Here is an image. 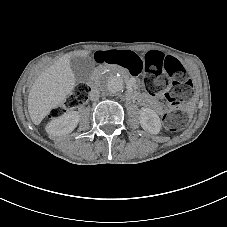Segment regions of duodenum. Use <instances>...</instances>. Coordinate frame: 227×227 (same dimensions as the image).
Wrapping results in <instances>:
<instances>
[{"label":"duodenum","instance_id":"1","mask_svg":"<svg viewBox=\"0 0 227 227\" xmlns=\"http://www.w3.org/2000/svg\"><path fill=\"white\" fill-rule=\"evenodd\" d=\"M129 96H130V97H134V96H135L134 92H133V91H130ZM146 98H147V95H141V96L139 97V103H140L141 105L146 106Z\"/></svg>","mask_w":227,"mask_h":227}]
</instances>
